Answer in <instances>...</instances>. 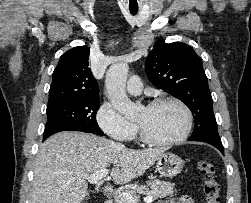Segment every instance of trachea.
I'll use <instances>...</instances> for the list:
<instances>
[{"label": "trachea", "mask_w": 251, "mask_h": 203, "mask_svg": "<svg viewBox=\"0 0 251 203\" xmlns=\"http://www.w3.org/2000/svg\"><path fill=\"white\" fill-rule=\"evenodd\" d=\"M130 12L132 15H135L138 12V10H130Z\"/></svg>", "instance_id": "3493384b"}]
</instances>
